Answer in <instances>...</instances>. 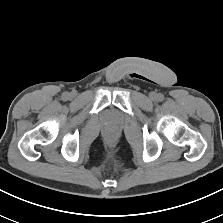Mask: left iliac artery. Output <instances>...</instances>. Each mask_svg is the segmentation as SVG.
Here are the masks:
<instances>
[{"label": "left iliac artery", "mask_w": 223, "mask_h": 223, "mask_svg": "<svg viewBox=\"0 0 223 223\" xmlns=\"http://www.w3.org/2000/svg\"><path fill=\"white\" fill-rule=\"evenodd\" d=\"M164 99V96L162 94H158L157 100L162 101Z\"/></svg>", "instance_id": "1"}]
</instances>
